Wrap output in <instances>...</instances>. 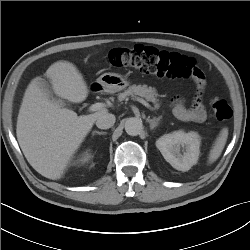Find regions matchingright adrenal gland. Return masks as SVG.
Here are the masks:
<instances>
[{
	"label": "right adrenal gland",
	"instance_id": "2a0ac1e0",
	"mask_svg": "<svg viewBox=\"0 0 250 250\" xmlns=\"http://www.w3.org/2000/svg\"><path fill=\"white\" fill-rule=\"evenodd\" d=\"M99 134V135H106V132H99V131H93V135L94 134Z\"/></svg>",
	"mask_w": 250,
	"mask_h": 250
}]
</instances>
